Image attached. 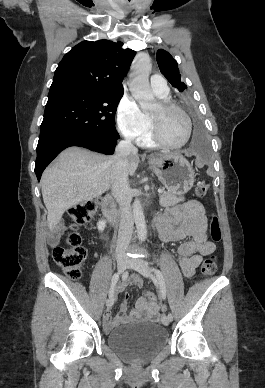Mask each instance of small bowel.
<instances>
[{"label": "small bowel", "mask_w": 265, "mask_h": 388, "mask_svg": "<svg viewBox=\"0 0 265 388\" xmlns=\"http://www.w3.org/2000/svg\"><path fill=\"white\" fill-rule=\"evenodd\" d=\"M164 228L160 233L165 242H182L178 249L179 265L182 274L191 278L204 256L212 254L216 245L207 239V217L203 205L197 200H190L179 206L169 207L164 215L160 216ZM66 227L62 222H56L50 229L49 239L55 244ZM188 239V240H187ZM144 281L133 275L116 288V294L123 293L129 287L141 288ZM128 294L121 304L119 313L112 317L110 310L103 316V326L106 331L129 321L157 320L159 317L158 304H151L144 298L138 300V309L127 314Z\"/></svg>", "instance_id": "1"}]
</instances>
